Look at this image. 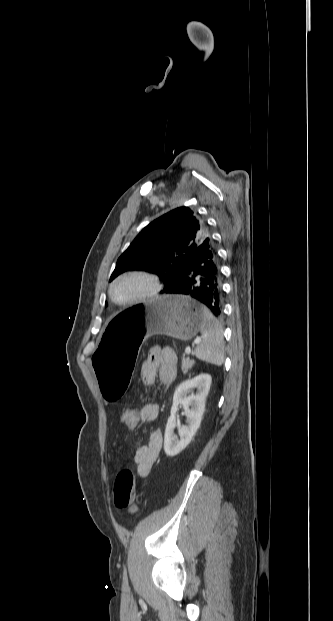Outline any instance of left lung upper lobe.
Masks as SVG:
<instances>
[{
  "label": "left lung upper lobe",
  "mask_w": 333,
  "mask_h": 621,
  "mask_svg": "<svg viewBox=\"0 0 333 621\" xmlns=\"http://www.w3.org/2000/svg\"><path fill=\"white\" fill-rule=\"evenodd\" d=\"M207 238L204 219L189 207L176 208L137 235L119 257L110 281L125 271L142 270L159 276L165 290L180 277L188 259Z\"/></svg>",
  "instance_id": "1"
}]
</instances>
